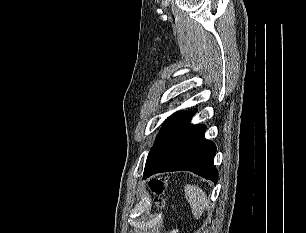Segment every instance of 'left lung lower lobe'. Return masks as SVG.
<instances>
[{"label": "left lung lower lobe", "mask_w": 306, "mask_h": 233, "mask_svg": "<svg viewBox=\"0 0 306 233\" xmlns=\"http://www.w3.org/2000/svg\"><path fill=\"white\" fill-rule=\"evenodd\" d=\"M195 112L190 111L159 140L147 157L144 179L155 173L188 170L217 183L215 144L205 139L204 125H187Z\"/></svg>", "instance_id": "1"}]
</instances>
